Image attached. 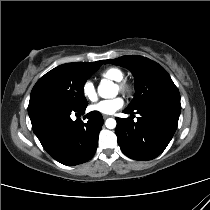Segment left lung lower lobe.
Segmentation results:
<instances>
[{"instance_id":"left-lung-lower-lobe-1","label":"left lung lower lobe","mask_w":210,"mask_h":210,"mask_svg":"<svg viewBox=\"0 0 210 210\" xmlns=\"http://www.w3.org/2000/svg\"><path fill=\"white\" fill-rule=\"evenodd\" d=\"M124 113L140 114L137 121L116 118V135L122 152L134 160H151L160 155L172 139L181 112L180 101L158 100Z\"/></svg>"}]
</instances>
